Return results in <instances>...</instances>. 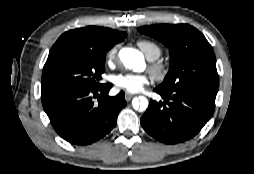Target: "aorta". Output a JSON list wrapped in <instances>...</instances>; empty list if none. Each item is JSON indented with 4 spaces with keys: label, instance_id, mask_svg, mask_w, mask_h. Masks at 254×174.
<instances>
[{
    "label": "aorta",
    "instance_id": "obj_1",
    "mask_svg": "<svg viewBox=\"0 0 254 174\" xmlns=\"http://www.w3.org/2000/svg\"><path fill=\"white\" fill-rule=\"evenodd\" d=\"M119 58L128 69L137 70L139 66L143 63V55L132 48H125L119 52ZM132 105L135 110L144 111L148 107V100L141 96L139 98H134L132 100Z\"/></svg>",
    "mask_w": 254,
    "mask_h": 174
}]
</instances>
